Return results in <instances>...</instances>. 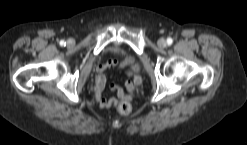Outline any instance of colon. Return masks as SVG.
Segmentation results:
<instances>
[{
	"label": "colon",
	"mask_w": 247,
	"mask_h": 145,
	"mask_svg": "<svg viewBox=\"0 0 247 145\" xmlns=\"http://www.w3.org/2000/svg\"><path fill=\"white\" fill-rule=\"evenodd\" d=\"M118 111L122 114H129L131 112V104L127 100H122L118 105Z\"/></svg>",
	"instance_id": "obj_1"
}]
</instances>
